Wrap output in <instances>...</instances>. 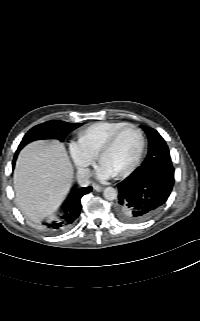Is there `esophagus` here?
Wrapping results in <instances>:
<instances>
[{"mask_svg":"<svg viewBox=\"0 0 200 321\" xmlns=\"http://www.w3.org/2000/svg\"><path fill=\"white\" fill-rule=\"evenodd\" d=\"M93 189L97 192L103 191L104 187L100 185H93Z\"/></svg>","mask_w":200,"mask_h":321,"instance_id":"1","label":"esophagus"}]
</instances>
